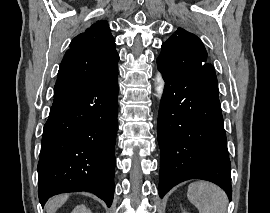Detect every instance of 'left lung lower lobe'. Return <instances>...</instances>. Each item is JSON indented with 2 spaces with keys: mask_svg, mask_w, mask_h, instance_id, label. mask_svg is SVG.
<instances>
[{
  "mask_svg": "<svg viewBox=\"0 0 270 213\" xmlns=\"http://www.w3.org/2000/svg\"><path fill=\"white\" fill-rule=\"evenodd\" d=\"M158 116L159 196L189 179L214 182L232 197L218 85L201 75L167 76Z\"/></svg>",
  "mask_w": 270,
  "mask_h": 213,
  "instance_id": "0a47b994",
  "label": "left lung lower lobe"
}]
</instances>
